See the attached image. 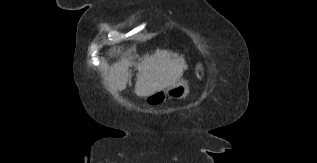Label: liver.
Instances as JSON below:
<instances>
[{
  "instance_id": "obj_1",
  "label": "liver",
  "mask_w": 317,
  "mask_h": 163,
  "mask_svg": "<svg viewBox=\"0 0 317 163\" xmlns=\"http://www.w3.org/2000/svg\"><path fill=\"white\" fill-rule=\"evenodd\" d=\"M129 65L138 71L134 92L140 97H147L175 85L188 67L183 56L159 49L139 58L138 62L119 61L112 66L106 82L108 90L115 97L118 91L127 86Z\"/></svg>"
}]
</instances>
